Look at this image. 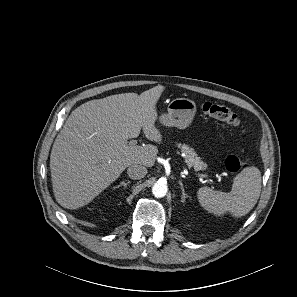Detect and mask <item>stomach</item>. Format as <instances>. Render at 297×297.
Returning a JSON list of instances; mask_svg holds the SVG:
<instances>
[{
  "label": "stomach",
  "mask_w": 297,
  "mask_h": 297,
  "mask_svg": "<svg viewBox=\"0 0 297 297\" xmlns=\"http://www.w3.org/2000/svg\"><path fill=\"white\" fill-rule=\"evenodd\" d=\"M196 113V103L188 98H177L169 102L167 113L160 116V122L167 127L185 129Z\"/></svg>",
  "instance_id": "stomach-1"
}]
</instances>
